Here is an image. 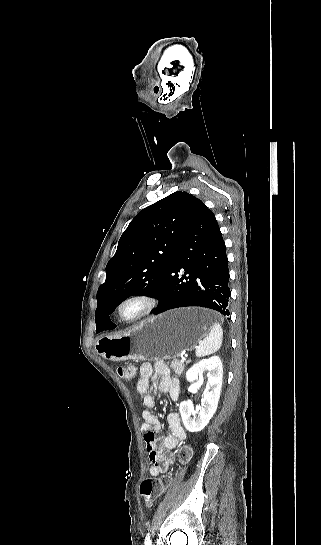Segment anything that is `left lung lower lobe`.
<instances>
[{"mask_svg":"<svg viewBox=\"0 0 321 545\" xmlns=\"http://www.w3.org/2000/svg\"><path fill=\"white\" fill-rule=\"evenodd\" d=\"M225 242L215 215L201 202L175 249L173 260L154 297V314L169 309L200 306L229 315V269ZM185 270L184 273L180 269ZM110 322L104 330L114 329Z\"/></svg>","mask_w":321,"mask_h":545,"instance_id":"0a47b994","label":"left lung lower lobe"}]
</instances>
